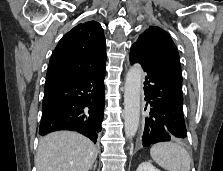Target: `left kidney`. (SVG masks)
Segmentation results:
<instances>
[{
  "label": "left kidney",
  "mask_w": 223,
  "mask_h": 171,
  "mask_svg": "<svg viewBox=\"0 0 223 171\" xmlns=\"http://www.w3.org/2000/svg\"><path fill=\"white\" fill-rule=\"evenodd\" d=\"M136 171H160L159 169L155 168L151 163L149 162H143L141 163Z\"/></svg>",
  "instance_id": "left-kidney-1"
}]
</instances>
